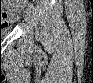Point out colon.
<instances>
[{"label": "colon", "instance_id": "colon-1", "mask_svg": "<svg viewBox=\"0 0 93 83\" xmlns=\"http://www.w3.org/2000/svg\"><path fill=\"white\" fill-rule=\"evenodd\" d=\"M4 3L14 4V3H16V1H3V2H2V6H1V9H0V11H1V16H2V19H3L4 21H8V16H9V14H15V13H16V10L8 9V8L4 5Z\"/></svg>", "mask_w": 93, "mask_h": 83}]
</instances>
